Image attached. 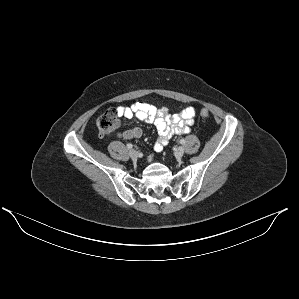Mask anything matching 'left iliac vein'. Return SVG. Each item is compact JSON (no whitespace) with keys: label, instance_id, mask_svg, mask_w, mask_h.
<instances>
[{"label":"left iliac vein","instance_id":"left-iliac-vein-1","mask_svg":"<svg viewBox=\"0 0 299 299\" xmlns=\"http://www.w3.org/2000/svg\"><path fill=\"white\" fill-rule=\"evenodd\" d=\"M174 154L177 158H181L184 155V148L183 147H177L174 151Z\"/></svg>","mask_w":299,"mask_h":299}]
</instances>
